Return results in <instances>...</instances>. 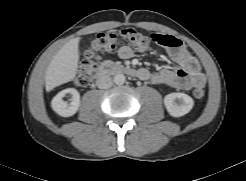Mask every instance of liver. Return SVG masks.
Segmentation results:
<instances>
[{
    "label": "liver",
    "instance_id": "obj_1",
    "mask_svg": "<svg viewBox=\"0 0 246 181\" xmlns=\"http://www.w3.org/2000/svg\"><path fill=\"white\" fill-rule=\"evenodd\" d=\"M80 39L77 37L68 41L51 60L45 73L47 92L75 78L79 63Z\"/></svg>",
    "mask_w": 246,
    "mask_h": 181
}]
</instances>
